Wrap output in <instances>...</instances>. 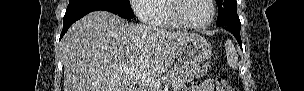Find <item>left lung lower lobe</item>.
<instances>
[{
  "mask_svg": "<svg viewBox=\"0 0 304 91\" xmlns=\"http://www.w3.org/2000/svg\"><path fill=\"white\" fill-rule=\"evenodd\" d=\"M226 30L230 31L235 38L237 39L241 49H242V42H241V37H240V29H241V23L240 24H230L223 26Z\"/></svg>",
  "mask_w": 304,
  "mask_h": 91,
  "instance_id": "0a47b994",
  "label": "left lung lower lobe"
}]
</instances>
